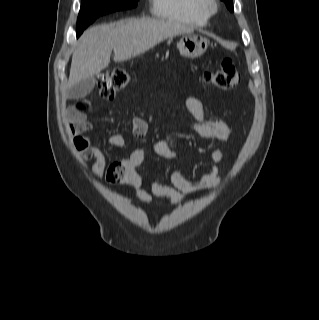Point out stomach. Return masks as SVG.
Returning a JSON list of instances; mask_svg holds the SVG:
<instances>
[{
    "label": "stomach",
    "instance_id": "0dacf381",
    "mask_svg": "<svg viewBox=\"0 0 319 320\" xmlns=\"http://www.w3.org/2000/svg\"><path fill=\"white\" fill-rule=\"evenodd\" d=\"M208 47V40L197 35H185L177 43L180 55L186 58H197L203 55Z\"/></svg>",
    "mask_w": 319,
    "mask_h": 320
}]
</instances>
